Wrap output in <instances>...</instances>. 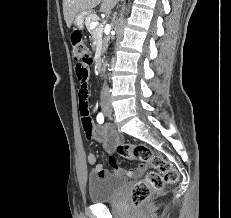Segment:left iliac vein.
Instances as JSON below:
<instances>
[{
    "label": "left iliac vein",
    "instance_id": "obj_1",
    "mask_svg": "<svg viewBox=\"0 0 231 218\" xmlns=\"http://www.w3.org/2000/svg\"><path fill=\"white\" fill-rule=\"evenodd\" d=\"M107 116L111 115V109H109V111L106 113Z\"/></svg>",
    "mask_w": 231,
    "mask_h": 218
}]
</instances>
